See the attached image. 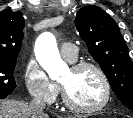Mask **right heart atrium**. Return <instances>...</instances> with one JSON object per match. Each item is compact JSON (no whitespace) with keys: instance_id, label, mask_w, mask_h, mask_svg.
<instances>
[{"instance_id":"obj_1","label":"right heart atrium","mask_w":133,"mask_h":118,"mask_svg":"<svg viewBox=\"0 0 133 118\" xmlns=\"http://www.w3.org/2000/svg\"><path fill=\"white\" fill-rule=\"evenodd\" d=\"M25 84L29 94L46 103L53 102L59 94V86L50 79L35 59H30L25 67Z\"/></svg>"}]
</instances>
